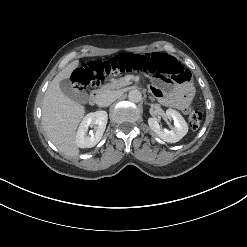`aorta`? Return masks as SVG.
I'll list each match as a JSON object with an SVG mask.
<instances>
[{
	"label": "aorta",
	"mask_w": 247,
	"mask_h": 247,
	"mask_svg": "<svg viewBox=\"0 0 247 247\" xmlns=\"http://www.w3.org/2000/svg\"><path fill=\"white\" fill-rule=\"evenodd\" d=\"M128 98L131 102L138 103L142 99V94L139 90L133 89L129 91Z\"/></svg>",
	"instance_id": "1"
}]
</instances>
